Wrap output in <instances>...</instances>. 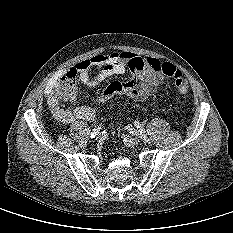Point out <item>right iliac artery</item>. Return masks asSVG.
<instances>
[{"instance_id":"82829eb1","label":"right iliac artery","mask_w":233,"mask_h":233,"mask_svg":"<svg viewBox=\"0 0 233 233\" xmlns=\"http://www.w3.org/2000/svg\"><path fill=\"white\" fill-rule=\"evenodd\" d=\"M100 129H101V125L96 126V127L93 129V131L91 132L90 137H91V138L96 137V135L99 133V130H100Z\"/></svg>"}]
</instances>
